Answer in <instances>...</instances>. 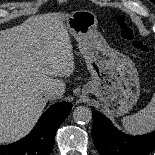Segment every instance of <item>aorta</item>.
Here are the masks:
<instances>
[{"label":"aorta","mask_w":155,"mask_h":155,"mask_svg":"<svg viewBox=\"0 0 155 155\" xmlns=\"http://www.w3.org/2000/svg\"><path fill=\"white\" fill-rule=\"evenodd\" d=\"M73 119L79 124L89 123L92 119V113L89 108L78 106L73 112Z\"/></svg>","instance_id":"1"}]
</instances>
